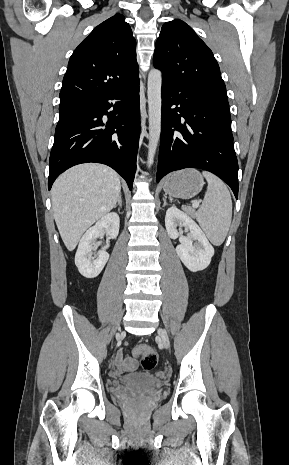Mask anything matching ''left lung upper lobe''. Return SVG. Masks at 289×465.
<instances>
[{
	"label": "left lung upper lobe",
	"mask_w": 289,
	"mask_h": 465,
	"mask_svg": "<svg viewBox=\"0 0 289 465\" xmlns=\"http://www.w3.org/2000/svg\"><path fill=\"white\" fill-rule=\"evenodd\" d=\"M153 63L162 71V81L227 98L212 51L182 20L176 19L162 26Z\"/></svg>",
	"instance_id": "5c2ea615"
}]
</instances>
